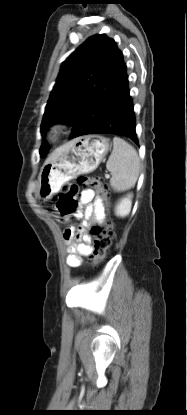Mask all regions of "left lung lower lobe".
<instances>
[{"label":"left lung lower lobe","mask_w":187,"mask_h":415,"mask_svg":"<svg viewBox=\"0 0 187 415\" xmlns=\"http://www.w3.org/2000/svg\"><path fill=\"white\" fill-rule=\"evenodd\" d=\"M90 100H98L99 109L91 117L85 115L73 128L70 138L96 133L115 134L138 144L127 68L117 45L95 83Z\"/></svg>","instance_id":"1"}]
</instances>
